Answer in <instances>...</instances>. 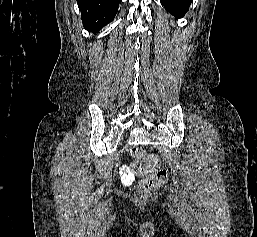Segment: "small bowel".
I'll return each instance as SVG.
<instances>
[{
	"instance_id": "c3829d8e",
	"label": "small bowel",
	"mask_w": 257,
	"mask_h": 237,
	"mask_svg": "<svg viewBox=\"0 0 257 237\" xmlns=\"http://www.w3.org/2000/svg\"><path fill=\"white\" fill-rule=\"evenodd\" d=\"M119 173H120V175L122 176V180H123L124 182H132V181L134 180L133 174L131 173V171L129 170V168L126 167V166L120 167Z\"/></svg>"
}]
</instances>
